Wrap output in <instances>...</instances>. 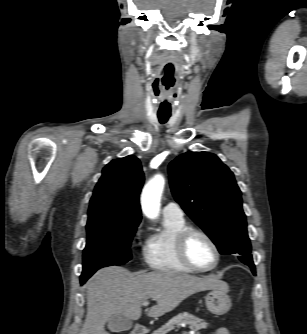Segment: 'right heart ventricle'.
Segmentation results:
<instances>
[{
  "label": "right heart ventricle",
  "instance_id": "right-heart-ventricle-1",
  "mask_svg": "<svg viewBox=\"0 0 307 334\" xmlns=\"http://www.w3.org/2000/svg\"><path fill=\"white\" fill-rule=\"evenodd\" d=\"M186 227L184 220L164 217L163 229L153 233L144 247V260L151 269L171 273L194 272L181 262L176 251V236Z\"/></svg>",
  "mask_w": 307,
  "mask_h": 334
}]
</instances>
